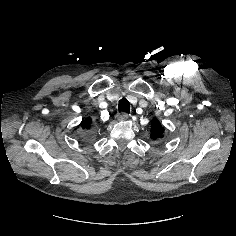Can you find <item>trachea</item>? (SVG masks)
Segmentation results:
<instances>
[{
    "label": "trachea",
    "instance_id": "3493384b",
    "mask_svg": "<svg viewBox=\"0 0 236 236\" xmlns=\"http://www.w3.org/2000/svg\"><path fill=\"white\" fill-rule=\"evenodd\" d=\"M118 108H119L120 112L130 113V104H129L128 100L125 98H122L119 101Z\"/></svg>",
    "mask_w": 236,
    "mask_h": 236
}]
</instances>
